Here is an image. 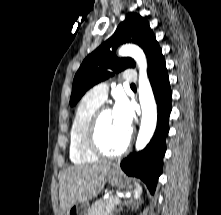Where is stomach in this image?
<instances>
[{
    "label": "stomach",
    "instance_id": "1",
    "mask_svg": "<svg viewBox=\"0 0 221 215\" xmlns=\"http://www.w3.org/2000/svg\"><path fill=\"white\" fill-rule=\"evenodd\" d=\"M107 178L108 182L111 185L116 186L119 189H125L128 187L127 180L124 174L118 168H113L109 170ZM88 211H89L88 203L80 202L69 208L65 212V215H88Z\"/></svg>",
    "mask_w": 221,
    "mask_h": 215
}]
</instances>
